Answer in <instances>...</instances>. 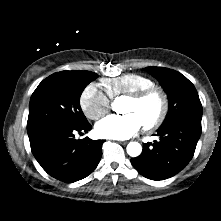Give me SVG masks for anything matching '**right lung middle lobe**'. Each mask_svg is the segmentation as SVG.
<instances>
[{"mask_svg":"<svg viewBox=\"0 0 221 221\" xmlns=\"http://www.w3.org/2000/svg\"><path fill=\"white\" fill-rule=\"evenodd\" d=\"M97 77L91 71L74 70L57 72L44 79L30 99L28 134L47 124L88 122L80 107V96Z\"/></svg>","mask_w":221,"mask_h":221,"instance_id":"right-lung-middle-lobe-1","label":"right lung middle lobe"}]
</instances>
